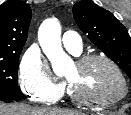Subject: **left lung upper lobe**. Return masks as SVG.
<instances>
[{"mask_svg":"<svg viewBox=\"0 0 131 115\" xmlns=\"http://www.w3.org/2000/svg\"><path fill=\"white\" fill-rule=\"evenodd\" d=\"M73 15L90 41L123 69L131 80V37L126 28L112 13L92 0L75 3Z\"/></svg>","mask_w":131,"mask_h":115,"instance_id":"obj_1","label":"left lung upper lobe"}]
</instances>
